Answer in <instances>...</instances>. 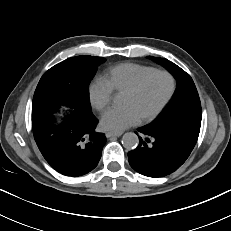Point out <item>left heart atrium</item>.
Returning <instances> with one entry per match:
<instances>
[{
    "label": "left heart atrium",
    "instance_id": "obj_1",
    "mask_svg": "<svg viewBox=\"0 0 231 231\" xmlns=\"http://www.w3.org/2000/svg\"><path fill=\"white\" fill-rule=\"evenodd\" d=\"M140 121L138 114L130 105L112 108L101 118L100 125L105 131L121 132Z\"/></svg>",
    "mask_w": 231,
    "mask_h": 231
}]
</instances>
